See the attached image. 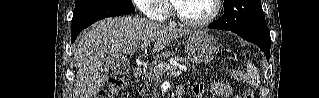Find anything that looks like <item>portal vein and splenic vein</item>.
<instances>
[{
	"label": "portal vein and splenic vein",
	"mask_w": 319,
	"mask_h": 98,
	"mask_svg": "<svg viewBox=\"0 0 319 98\" xmlns=\"http://www.w3.org/2000/svg\"><path fill=\"white\" fill-rule=\"evenodd\" d=\"M150 44V41H145L141 44L140 48L141 49H145L148 45ZM170 72L171 74H173L174 76H179L181 74V71L177 69V65L173 64H165V63H161L159 65L156 66L155 68V73L158 75L160 72Z\"/></svg>",
	"instance_id": "1"
}]
</instances>
